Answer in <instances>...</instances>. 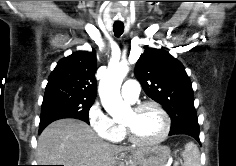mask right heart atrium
Masks as SVG:
<instances>
[{"instance_id": "d8ad5b80", "label": "right heart atrium", "mask_w": 236, "mask_h": 166, "mask_svg": "<svg viewBox=\"0 0 236 166\" xmlns=\"http://www.w3.org/2000/svg\"><path fill=\"white\" fill-rule=\"evenodd\" d=\"M89 125L94 133L101 139L116 141L118 127L114 120L104 111L100 102L95 101L87 113Z\"/></svg>"}]
</instances>
